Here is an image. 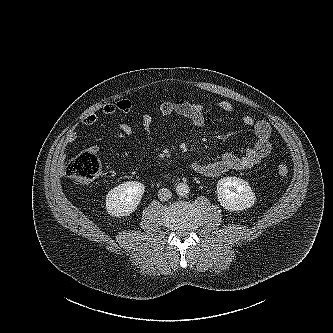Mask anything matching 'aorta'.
Masks as SVG:
<instances>
[{
    "label": "aorta",
    "mask_w": 333,
    "mask_h": 333,
    "mask_svg": "<svg viewBox=\"0 0 333 333\" xmlns=\"http://www.w3.org/2000/svg\"><path fill=\"white\" fill-rule=\"evenodd\" d=\"M190 192L189 186L186 183H179L176 186V193L179 196H187Z\"/></svg>",
    "instance_id": "obj_1"
}]
</instances>
